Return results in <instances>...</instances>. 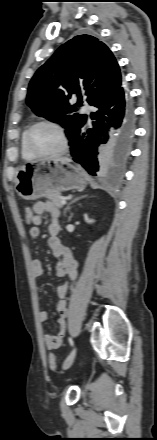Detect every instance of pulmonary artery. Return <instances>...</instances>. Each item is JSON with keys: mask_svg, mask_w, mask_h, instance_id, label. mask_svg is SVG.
<instances>
[{"mask_svg": "<svg viewBox=\"0 0 157 440\" xmlns=\"http://www.w3.org/2000/svg\"><path fill=\"white\" fill-rule=\"evenodd\" d=\"M82 112H84V113H86L87 115H89L90 112H91V107L88 106V105H84V106L82 107Z\"/></svg>", "mask_w": 157, "mask_h": 440, "instance_id": "pulmonary-artery-1", "label": "pulmonary artery"}]
</instances>
